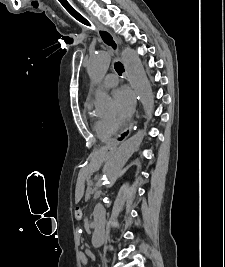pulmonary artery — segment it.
<instances>
[{
    "label": "pulmonary artery",
    "instance_id": "e3ab8cb5",
    "mask_svg": "<svg viewBox=\"0 0 225 267\" xmlns=\"http://www.w3.org/2000/svg\"><path fill=\"white\" fill-rule=\"evenodd\" d=\"M118 83V77L115 74H108L103 81V88L109 89L116 86Z\"/></svg>",
    "mask_w": 225,
    "mask_h": 267
}]
</instances>
